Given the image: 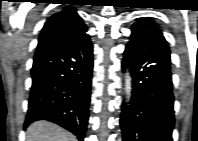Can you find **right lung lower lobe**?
<instances>
[{
  "label": "right lung lower lobe",
  "mask_w": 198,
  "mask_h": 141,
  "mask_svg": "<svg viewBox=\"0 0 198 141\" xmlns=\"http://www.w3.org/2000/svg\"><path fill=\"white\" fill-rule=\"evenodd\" d=\"M92 70L93 46L86 32L36 54L25 128L45 119L83 141L89 118Z\"/></svg>",
  "instance_id": "1"
}]
</instances>
